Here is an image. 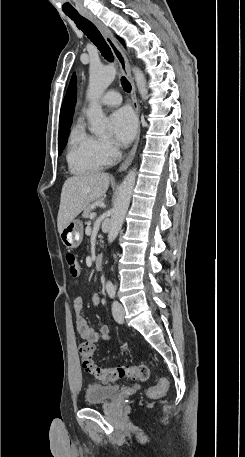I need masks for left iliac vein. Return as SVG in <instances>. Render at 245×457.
Listing matches in <instances>:
<instances>
[{"label":"left iliac vein","mask_w":245,"mask_h":457,"mask_svg":"<svg viewBox=\"0 0 245 457\" xmlns=\"http://www.w3.org/2000/svg\"><path fill=\"white\" fill-rule=\"evenodd\" d=\"M124 308L123 305L118 302L114 301L112 306V314L116 322L122 323L124 321Z\"/></svg>","instance_id":"obj_1"}]
</instances>
